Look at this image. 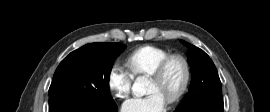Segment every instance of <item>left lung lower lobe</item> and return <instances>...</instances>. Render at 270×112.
I'll list each match as a JSON object with an SVG mask.
<instances>
[{"instance_id": "obj_1", "label": "left lung lower lobe", "mask_w": 270, "mask_h": 112, "mask_svg": "<svg viewBox=\"0 0 270 112\" xmlns=\"http://www.w3.org/2000/svg\"><path fill=\"white\" fill-rule=\"evenodd\" d=\"M223 103H198L186 109L175 110L174 112H223Z\"/></svg>"}]
</instances>
